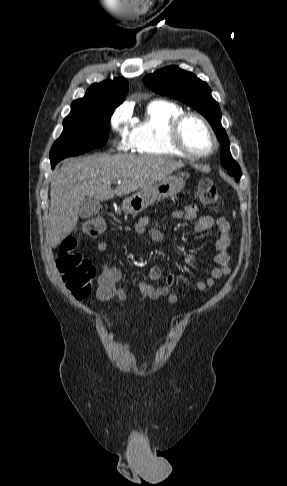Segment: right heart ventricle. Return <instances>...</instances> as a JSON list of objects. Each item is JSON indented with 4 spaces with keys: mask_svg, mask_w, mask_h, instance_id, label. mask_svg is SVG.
<instances>
[{
    "mask_svg": "<svg viewBox=\"0 0 287 486\" xmlns=\"http://www.w3.org/2000/svg\"><path fill=\"white\" fill-rule=\"evenodd\" d=\"M183 112L182 106L175 102L167 100L150 102L140 121L128 130L133 151L153 156H183L169 140L171 123Z\"/></svg>",
    "mask_w": 287,
    "mask_h": 486,
    "instance_id": "obj_1",
    "label": "right heart ventricle"
}]
</instances>
